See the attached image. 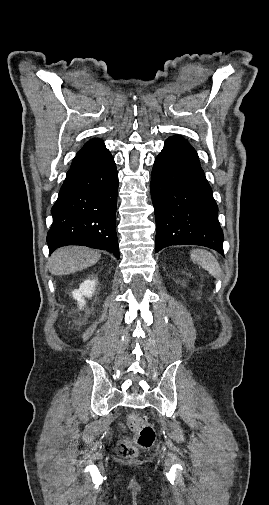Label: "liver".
<instances>
[{"mask_svg":"<svg viewBox=\"0 0 269 505\" xmlns=\"http://www.w3.org/2000/svg\"><path fill=\"white\" fill-rule=\"evenodd\" d=\"M101 254L95 250L67 246L56 250L50 257V272L54 275H67L96 264Z\"/></svg>","mask_w":269,"mask_h":505,"instance_id":"liver-1","label":"liver"}]
</instances>
